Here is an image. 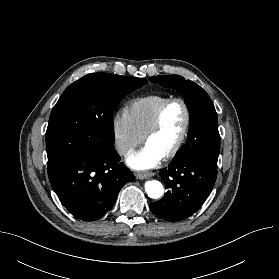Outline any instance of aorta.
<instances>
[{
	"label": "aorta",
	"mask_w": 279,
	"mask_h": 279,
	"mask_svg": "<svg viewBox=\"0 0 279 279\" xmlns=\"http://www.w3.org/2000/svg\"><path fill=\"white\" fill-rule=\"evenodd\" d=\"M145 191L150 198L158 199L163 195L164 188L161 182L150 180L145 183Z\"/></svg>",
	"instance_id": "762f6f07"
}]
</instances>
